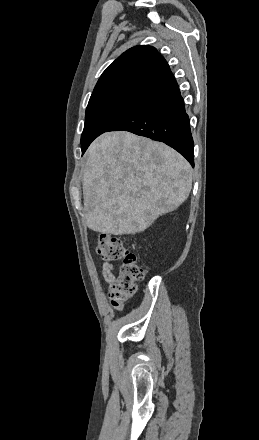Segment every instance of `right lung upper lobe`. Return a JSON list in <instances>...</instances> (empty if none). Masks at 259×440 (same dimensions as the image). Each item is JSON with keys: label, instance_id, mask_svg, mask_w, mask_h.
I'll return each instance as SVG.
<instances>
[{"label": "right lung upper lobe", "instance_id": "obj_1", "mask_svg": "<svg viewBox=\"0 0 259 440\" xmlns=\"http://www.w3.org/2000/svg\"><path fill=\"white\" fill-rule=\"evenodd\" d=\"M169 72V65L154 47H132L103 72L90 99L123 90L148 91Z\"/></svg>", "mask_w": 259, "mask_h": 440}]
</instances>
